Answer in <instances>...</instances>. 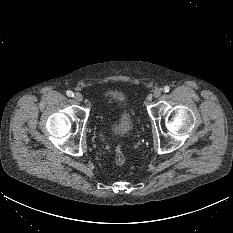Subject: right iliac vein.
Instances as JSON below:
<instances>
[{"label":"right iliac vein","instance_id":"1","mask_svg":"<svg viewBox=\"0 0 233 233\" xmlns=\"http://www.w3.org/2000/svg\"><path fill=\"white\" fill-rule=\"evenodd\" d=\"M74 99H75L76 101H78V102H81V101L83 100V96H82L81 93L76 92V93L74 94Z\"/></svg>","mask_w":233,"mask_h":233}]
</instances>
